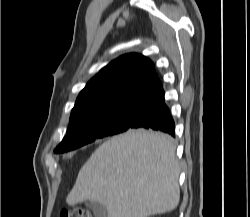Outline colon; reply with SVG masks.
<instances>
[{"instance_id": "1", "label": "colon", "mask_w": 250, "mask_h": 217, "mask_svg": "<svg viewBox=\"0 0 250 217\" xmlns=\"http://www.w3.org/2000/svg\"><path fill=\"white\" fill-rule=\"evenodd\" d=\"M60 217H92V215L85 209L72 208L68 210H63L60 213Z\"/></svg>"}]
</instances>
